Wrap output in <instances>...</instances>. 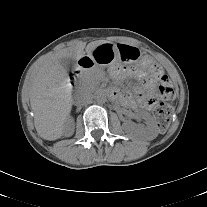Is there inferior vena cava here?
<instances>
[{
	"label": "inferior vena cava",
	"mask_w": 207,
	"mask_h": 207,
	"mask_svg": "<svg viewBox=\"0 0 207 207\" xmlns=\"http://www.w3.org/2000/svg\"><path fill=\"white\" fill-rule=\"evenodd\" d=\"M94 96L88 90H80L74 97L75 104L78 106L86 105L92 102Z\"/></svg>",
	"instance_id": "inferior-vena-cava-1"
}]
</instances>
